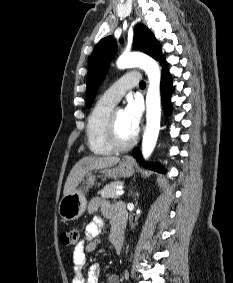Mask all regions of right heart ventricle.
I'll use <instances>...</instances> for the list:
<instances>
[{"mask_svg": "<svg viewBox=\"0 0 233 283\" xmlns=\"http://www.w3.org/2000/svg\"><path fill=\"white\" fill-rule=\"evenodd\" d=\"M114 104L102 99L92 108L86 125V138L89 150L95 155H109L113 150L105 138L106 125Z\"/></svg>", "mask_w": 233, "mask_h": 283, "instance_id": "right-heart-ventricle-1", "label": "right heart ventricle"}]
</instances>
